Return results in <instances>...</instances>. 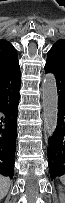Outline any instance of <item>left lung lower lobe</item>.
Masks as SVG:
<instances>
[{"label":"left lung lower lobe","instance_id":"left-lung-lower-lobe-1","mask_svg":"<svg viewBox=\"0 0 65 203\" xmlns=\"http://www.w3.org/2000/svg\"><path fill=\"white\" fill-rule=\"evenodd\" d=\"M45 72L56 77L58 90V122L49 139L48 167L51 179L65 175V46L54 45L48 52Z\"/></svg>","mask_w":65,"mask_h":203}]
</instances>
